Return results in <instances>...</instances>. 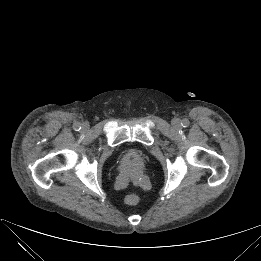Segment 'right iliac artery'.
<instances>
[{
    "label": "right iliac artery",
    "instance_id": "right-iliac-artery-1",
    "mask_svg": "<svg viewBox=\"0 0 261 261\" xmlns=\"http://www.w3.org/2000/svg\"><path fill=\"white\" fill-rule=\"evenodd\" d=\"M75 131H79L81 129V125L79 123L74 124L73 126Z\"/></svg>",
    "mask_w": 261,
    "mask_h": 261
}]
</instances>
